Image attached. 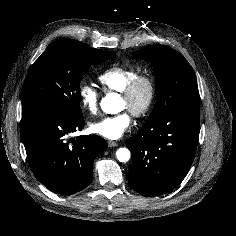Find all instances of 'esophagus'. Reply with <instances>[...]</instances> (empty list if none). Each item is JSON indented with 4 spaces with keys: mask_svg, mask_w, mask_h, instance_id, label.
<instances>
[{
    "mask_svg": "<svg viewBox=\"0 0 236 236\" xmlns=\"http://www.w3.org/2000/svg\"><path fill=\"white\" fill-rule=\"evenodd\" d=\"M117 145H118V143L116 141H112V140L108 141V147H115Z\"/></svg>",
    "mask_w": 236,
    "mask_h": 236,
    "instance_id": "34e87169",
    "label": "esophagus"
}]
</instances>
